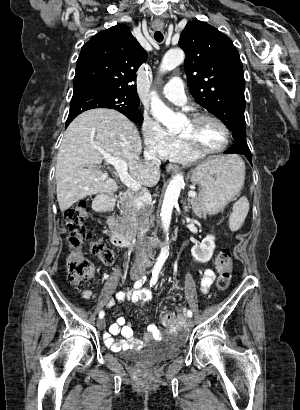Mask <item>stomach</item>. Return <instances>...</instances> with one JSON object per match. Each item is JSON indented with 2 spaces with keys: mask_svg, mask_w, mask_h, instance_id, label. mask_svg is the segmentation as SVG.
I'll list each match as a JSON object with an SVG mask.
<instances>
[{
  "mask_svg": "<svg viewBox=\"0 0 300 410\" xmlns=\"http://www.w3.org/2000/svg\"><path fill=\"white\" fill-rule=\"evenodd\" d=\"M243 165L238 156L231 155L196 167L191 180L200 187L198 200L206 212L218 213L238 194L245 179Z\"/></svg>",
  "mask_w": 300,
  "mask_h": 410,
  "instance_id": "1",
  "label": "stomach"
}]
</instances>
